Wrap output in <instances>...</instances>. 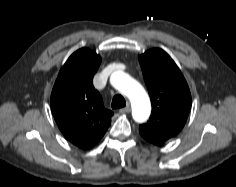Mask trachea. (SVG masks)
<instances>
[{
	"mask_svg": "<svg viewBox=\"0 0 236 187\" xmlns=\"http://www.w3.org/2000/svg\"><path fill=\"white\" fill-rule=\"evenodd\" d=\"M125 105H126V101L122 95L117 94L114 96L112 100V104H111L113 109H119V108L125 107Z\"/></svg>",
	"mask_w": 236,
	"mask_h": 187,
	"instance_id": "1",
	"label": "trachea"
}]
</instances>
